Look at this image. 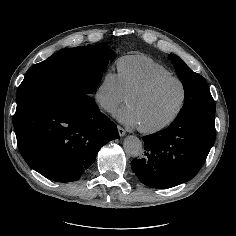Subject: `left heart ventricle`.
Returning <instances> with one entry per match:
<instances>
[{
    "label": "left heart ventricle",
    "mask_w": 236,
    "mask_h": 236,
    "mask_svg": "<svg viewBox=\"0 0 236 236\" xmlns=\"http://www.w3.org/2000/svg\"><path fill=\"white\" fill-rule=\"evenodd\" d=\"M182 98V88L175 81L160 84L146 95L134 98L129 106L135 111L138 125L153 127L170 118Z\"/></svg>",
    "instance_id": "b2bd125f"
}]
</instances>
